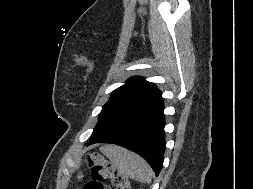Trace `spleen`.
<instances>
[{"label":"spleen","instance_id":"1","mask_svg":"<svg viewBox=\"0 0 253 189\" xmlns=\"http://www.w3.org/2000/svg\"><path fill=\"white\" fill-rule=\"evenodd\" d=\"M100 150L120 174L143 183L151 182L153 173L150 166L134 152L116 145H105Z\"/></svg>","mask_w":253,"mask_h":189}]
</instances>
